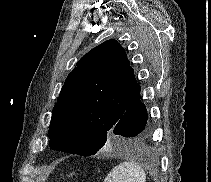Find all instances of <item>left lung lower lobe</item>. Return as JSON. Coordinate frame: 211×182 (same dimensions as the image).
I'll return each mask as SVG.
<instances>
[{
  "mask_svg": "<svg viewBox=\"0 0 211 182\" xmlns=\"http://www.w3.org/2000/svg\"><path fill=\"white\" fill-rule=\"evenodd\" d=\"M150 130L147 122V109L141 102L139 94L112 129L109 140L116 145L124 146L136 139L146 137Z\"/></svg>",
  "mask_w": 211,
  "mask_h": 182,
  "instance_id": "left-lung-lower-lobe-1",
  "label": "left lung lower lobe"
}]
</instances>
